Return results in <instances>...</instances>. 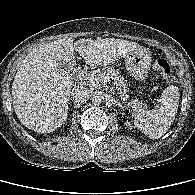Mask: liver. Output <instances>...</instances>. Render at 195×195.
Listing matches in <instances>:
<instances>
[{
  "instance_id": "1",
  "label": "liver",
  "mask_w": 195,
  "mask_h": 195,
  "mask_svg": "<svg viewBox=\"0 0 195 195\" xmlns=\"http://www.w3.org/2000/svg\"><path fill=\"white\" fill-rule=\"evenodd\" d=\"M140 47L127 40L72 38L52 41L30 51L20 64L12 83L13 106L17 118L37 133L61 127L68 116L73 78L61 63H74L75 51L90 67L114 64Z\"/></svg>"
}]
</instances>
